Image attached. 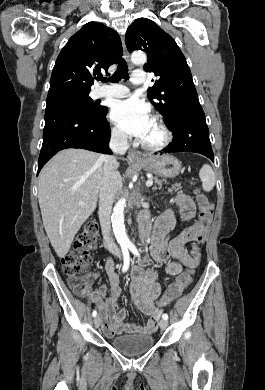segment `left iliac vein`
<instances>
[{
  "mask_svg": "<svg viewBox=\"0 0 265 390\" xmlns=\"http://www.w3.org/2000/svg\"><path fill=\"white\" fill-rule=\"evenodd\" d=\"M159 326H160V328L162 329V330H165L166 328H167V326H168V322L166 321V320H161L160 322H159Z\"/></svg>",
  "mask_w": 265,
  "mask_h": 390,
  "instance_id": "left-iliac-vein-1",
  "label": "left iliac vein"
}]
</instances>
